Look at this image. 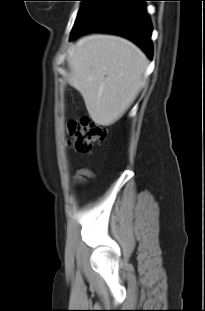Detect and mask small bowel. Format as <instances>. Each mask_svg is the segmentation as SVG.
<instances>
[{
    "label": "small bowel",
    "instance_id": "c3829d8e",
    "mask_svg": "<svg viewBox=\"0 0 205 311\" xmlns=\"http://www.w3.org/2000/svg\"><path fill=\"white\" fill-rule=\"evenodd\" d=\"M95 178V174L88 168H80L74 176V180L77 184H84L88 179Z\"/></svg>",
    "mask_w": 205,
    "mask_h": 311
}]
</instances>
